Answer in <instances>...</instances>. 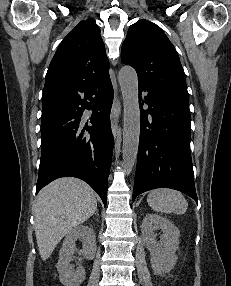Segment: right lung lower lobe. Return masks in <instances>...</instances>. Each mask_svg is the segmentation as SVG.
Returning a JSON list of instances; mask_svg holds the SVG:
<instances>
[{
	"mask_svg": "<svg viewBox=\"0 0 231 286\" xmlns=\"http://www.w3.org/2000/svg\"><path fill=\"white\" fill-rule=\"evenodd\" d=\"M112 102L109 77L80 88L57 108L59 114L42 120V155L36 193L57 178L77 177L87 182L106 205L113 151L109 121ZM85 109L93 111L92 126L82 128Z\"/></svg>",
	"mask_w": 231,
	"mask_h": 286,
	"instance_id": "right-lung-lower-lobe-1",
	"label": "right lung lower lobe"
}]
</instances>
